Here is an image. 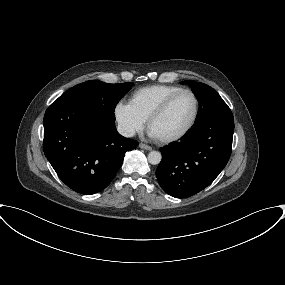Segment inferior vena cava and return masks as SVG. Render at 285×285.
<instances>
[{"label":"inferior vena cava","instance_id":"inferior-vena-cava-1","mask_svg":"<svg viewBox=\"0 0 285 285\" xmlns=\"http://www.w3.org/2000/svg\"><path fill=\"white\" fill-rule=\"evenodd\" d=\"M117 130L124 137H133L135 135V131L130 127L118 126Z\"/></svg>","mask_w":285,"mask_h":285}]
</instances>
